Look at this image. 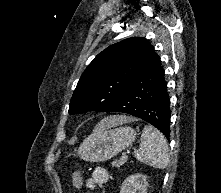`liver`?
<instances>
[{
	"instance_id": "obj_1",
	"label": "liver",
	"mask_w": 221,
	"mask_h": 193,
	"mask_svg": "<svg viewBox=\"0 0 221 193\" xmlns=\"http://www.w3.org/2000/svg\"><path fill=\"white\" fill-rule=\"evenodd\" d=\"M131 120H132V118L126 117V116H113V117H109V118L102 120L98 124V126L100 128H111V127H115L117 125H121L126 122H129Z\"/></svg>"
}]
</instances>
